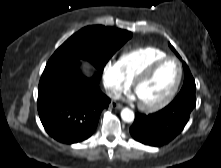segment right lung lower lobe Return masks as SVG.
<instances>
[{
  "instance_id": "98d812e1",
  "label": "right lung lower lobe",
  "mask_w": 221,
  "mask_h": 168,
  "mask_svg": "<svg viewBox=\"0 0 221 168\" xmlns=\"http://www.w3.org/2000/svg\"><path fill=\"white\" fill-rule=\"evenodd\" d=\"M99 73L85 77L74 60L47 63L38 86L37 108L52 138L72 144L92 135L110 103L98 86Z\"/></svg>"
}]
</instances>
